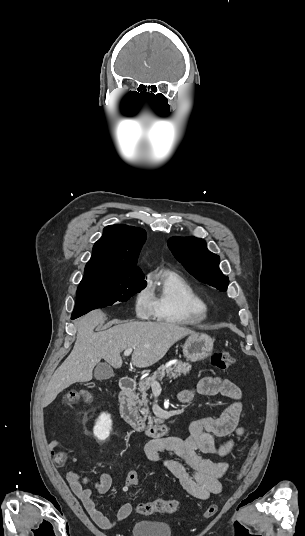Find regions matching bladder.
<instances>
[{
  "label": "bladder",
  "mask_w": 305,
  "mask_h": 536,
  "mask_svg": "<svg viewBox=\"0 0 305 536\" xmlns=\"http://www.w3.org/2000/svg\"><path fill=\"white\" fill-rule=\"evenodd\" d=\"M172 524L144 518L131 527V536H173Z\"/></svg>",
  "instance_id": "1"
}]
</instances>
